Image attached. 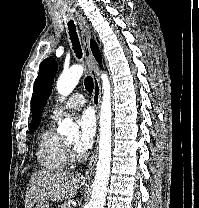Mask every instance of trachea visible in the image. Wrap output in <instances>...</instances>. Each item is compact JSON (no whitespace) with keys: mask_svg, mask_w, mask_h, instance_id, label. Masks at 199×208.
<instances>
[{"mask_svg":"<svg viewBox=\"0 0 199 208\" xmlns=\"http://www.w3.org/2000/svg\"><path fill=\"white\" fill-rule=\"evenodd\" d=\"M68 30H69L70 40L72 42V48L76 56L80 59L82 57L81 45H80L79 38L76 32V27L73 21L68 22ZM84 85H85L86 90L89 93L93 92L94 82L91 76H87L85 78Z\"/></svg>","mask_w":199,"mask_h":208,"instance_id":"trachea-1","label":"trachea"}]
</instances>
